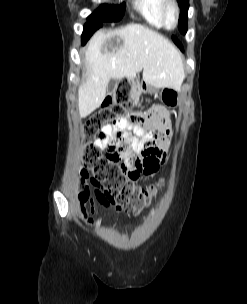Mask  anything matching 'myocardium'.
I'll return each mask as SVG.
<instances>
[{
    "mask_svg": "<svg viewBox=\"0 0 247 304\" xmlns=\"http://www.w3.org/2000/svg\"><path fill=\"white\" fill-rule=\"evenodd\" d=\"M173 9L175 12V22L172 26L168 25V11L169 9ZM162 22L166 29L172 30L177 27L180 18V7L176 0H164L162 9H161Z\"/></svg>",
    "mask_w": 247,
    "mask_h": 304,
    "instance_id": "f54148a6",
    "label": "myocardium"
}]
</instances>
